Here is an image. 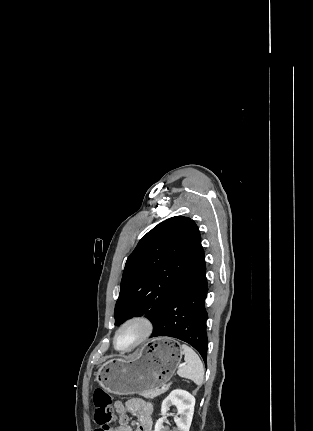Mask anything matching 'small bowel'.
<instances>
[{
  "label": "small bowel",
  "mask_w": 313,
  "mask_h": 431,
  "mask_svg": "<svg viewBox=\"0 0 313 431\" xmlns=\"http://www.w3.org/2000/svg\"><path fill=\"white\" fill-rule=\"evenodd\" d=\"M119 415L116 431H133L130 426V416L137 419L136 431H152V405L142 399L133 398L125 403L117 401L114 404Z\"/></svg>",
  "instance_id": "obj_1"
}]
</instances>
